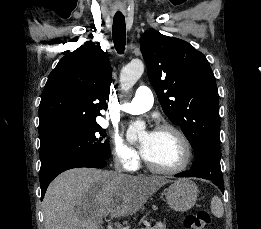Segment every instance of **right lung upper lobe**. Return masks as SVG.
Wrapping results in <instances>:
<instances>
[{"instance_id":"1","label":"right lung upper lobe","mask_w":261,"mask_h":229,"mask_svg":"<svg viewBox=\"0 0 261 229\" xmlns=\"http://www.w3.org/2000/svg\"><path fill=\"white\" fill-rule=\"evenodd\" d=\"M111 68L106 52L87 42L50 73L39 106L40 150L79 137L107 109Z\"/></svg>"}]
</instances>
